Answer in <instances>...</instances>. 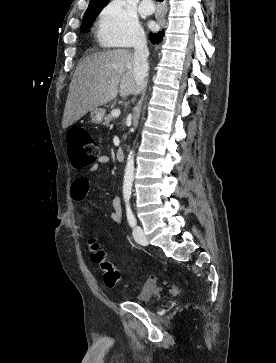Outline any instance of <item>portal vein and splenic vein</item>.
Returning a JSON list of instances; mask_svg holds the SVG:
<instances>
[{"instance_id": "18ae733b", "label": "portal vein and splenic vein", "mask_w": 276, "mask_h": 363, "mask_svg": "<svg viewBox=\"0 0 276 363\" xmlns=\"http://www.w3.org/2000/svg\"><path fill=\"white\" fill-rule=\"evenodd\" d=\"M120 114H121L120 109H114V110L112 111V115H113V117H115V118L119 117V116H120Z\"/></svg>"}]
</instances>
